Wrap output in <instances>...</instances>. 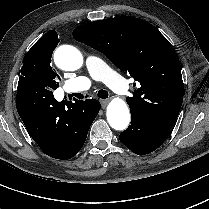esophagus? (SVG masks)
<instances>
[{
  "mask_svg": "<svg viewBox=\"0 0 209 209\" xmlns=\"http://www.w3.org/2000/svg\"><path fill=\"white\" fill-rule=\"evenodd\" d=\"M108 103H109L108 99L101 100V104L103 108H105Z\"/></svg>",
  "mask_w": 209,
  "mask_h": 209,
  "instance_id": "esophagus-1",
  "label": "esophagus"
}]
</instances>
